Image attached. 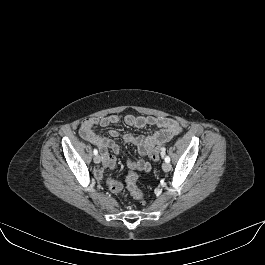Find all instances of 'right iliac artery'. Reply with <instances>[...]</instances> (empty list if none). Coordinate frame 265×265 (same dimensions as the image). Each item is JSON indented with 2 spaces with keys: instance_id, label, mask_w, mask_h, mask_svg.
Segmentation results:
<instances>
[{
  "instance_id": "obj_1",
  "label": "right iliac artery",
  "mask_w": 265,
  "mask_h": 265,
  "mask_svg": "<svg viewBox=\"0 0 265 265\" xmlns=\"http://www.w3.org/2000/svg\"><path fill=\"white\" fill-rule=\"evenodd\" d=\"M93 153H94V155H97L98 154L97 149H94Z\"/></svg>"
}]
</instances>
